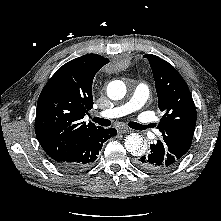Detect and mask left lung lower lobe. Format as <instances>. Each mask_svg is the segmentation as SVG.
Listing matches in <instances>:
<instances>
[{
    "label": "left lung lower lobe",
    "instance_id": "obj_1",
    "mask_svg": "<svg viewBox=\"0 0 221 221\" xmlns=\"http://www.w3.org/2000/svg\"><path fill=\"white\" fill-rule=\"evenodd\" d=\"M164 143L158 140L150 145L149 152L141 156L136 164L144 171L163 173L172 169L177 163Z\"/></svg>",
    "mask_w": 221,
    "mask_h": 221
}]
</instances>
